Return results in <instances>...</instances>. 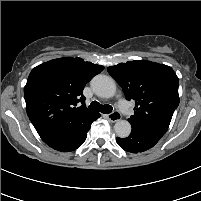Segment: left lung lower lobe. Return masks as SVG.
Segmentation results:
<instances>
[{
  "label": "left lung lower lobe",
  "mask_w": 201,
  "mask_h": 201,
  "mask_svg": "<svg viewBox=\"0 0 201 201\" xmlns=\"http://www.w3.org/2000/svg\"><path fill=\"white\" fill-rule=\"evenodd\" d=\"M165 133L159 128L132 125L131 134L127 138L117 137L116 142L125 151L144 152L152 148Z\"/></svg>",
  "instance_id": "left-lung-lower-lobe-1"
}]
</instances>
